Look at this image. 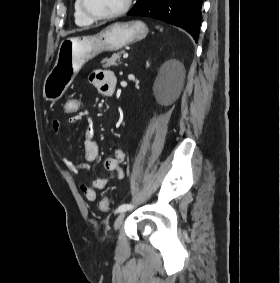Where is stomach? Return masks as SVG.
Returning <instances> with one entry per match:
<instances>
[{"label":"stomach","mask_w":280,"mask_h":283,"mask_svg":"<svg viewBox=\"0 0 280 283\" xmlns=\"http://www.w3.org/2000/svg\"><path fill=\"white\" fill-rule=\"evenodd\" d=\"M148 34L142 21L113 23L95 35L68 37L61 41L54 67L46 76L43 96L55 102L66 92L82 66L102 52L118 51Z\"/></svg>","instance_id":"1"}]
</instances>
